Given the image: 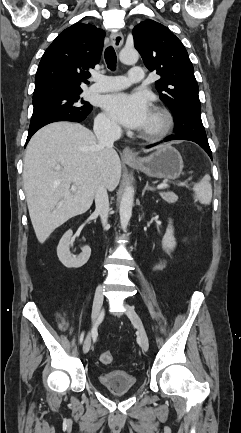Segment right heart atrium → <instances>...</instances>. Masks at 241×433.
Listing matches in <instances>:
<instances>
[{
	"instance_id": "obj_1",
	"label": "right heart atrium",
	"mask_w": 241,
	"mask_h": 433,
	"mask_svg": "<svg viewBox=\"0 0 241 433\" xmlns=\"http://www.w3.org/2000/svg\"><path fill=\"white\" fill-rule=\"evenodd\" d=\"M96 129L102 133L115 135L119 132V127L105 114H100L96 118Z\"/></svg>"
}]
</instances>
